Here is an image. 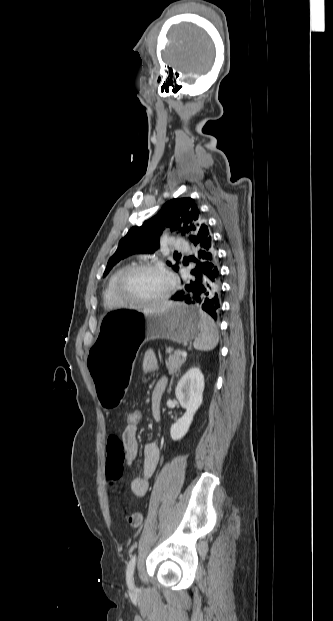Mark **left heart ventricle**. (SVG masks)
Wrapping results in <instances>:
<instances>
[{"label": "left heart ventricle", "mask_w": 333, "mask_h": 621, "mask_svg": "<svg viewBox=\"0 0 333 621\" xmlns=\"http://www.w3.org/2000/svg\"><path fill=\"white\" fill-rule=\"evenodd\" d=\"M168 285V279L162 273L142 270L133 273L127 278L123 291L131 298L153 300L164 295Z\"/></svg>", "instance_id": "obj_1"}]
</instances>
